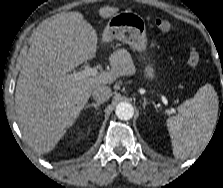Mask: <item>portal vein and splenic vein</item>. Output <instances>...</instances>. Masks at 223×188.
Here are the masks:
<instances>
[{
  "instance_id": "1",
  "label": "portal vein and splenic vein",
  "mask_w": 223,
  "mask_h": 188,
  "mask_svg": "<svg viewBox=\"0 0 223 188\" xmlns=\"http://www.w3.org/2000/svg\"><path fill=\"white\" fill-rule=\"evenodd\" d=\"M98 74L97 68H92L90 65H85L84 69L80 72H73L72 74L68 75V78L72 81L82 80L84 78L95 76ZM162 101L164 104H168L167 99L162 95Z\"/></svg>"
}]
</instances>
